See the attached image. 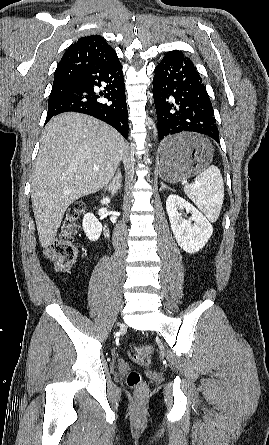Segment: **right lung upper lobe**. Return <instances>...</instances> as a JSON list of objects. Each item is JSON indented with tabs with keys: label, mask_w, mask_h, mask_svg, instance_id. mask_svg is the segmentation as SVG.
<instances>
[{
	"label": "right lung upper lobe",
	"mask_w": 269,
	"mask_h": 445,
	"mask_svg": "<svg viewBox=\"0 0 269 445\" xmlns=\"http://www.w3.org/2000/svg\"><path fill=\"white\" fill-rule=\"evenodd\" d=\"M116 57L115 50L100 35L82 37L64 53L55 71L53 87L67 86L83 72Z\"/></svg>",
	"instance_id": "1"
}]
</instances>
